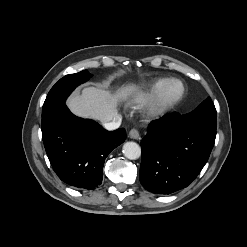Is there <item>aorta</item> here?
Here are the masks:
<instances>
[{"label": "aorta", "instance_id": "762f6f07", "mask_svg": "<svg viewBox=\"0 0 247 247\" xmlns=\"http://www.w3.org/2000/svg\"><path fill=\"white\" fill-rule=\"evenodd\" d=\"M123 154L126 158L130 160H136L141 156V148L135 142H126L123 145Z\"/></svg>", "mask_w": 247, "mask_h": 247}]
</instances>
